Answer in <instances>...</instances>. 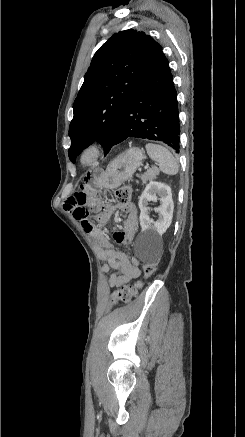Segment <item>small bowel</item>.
Masks as SVG:
<instances>
[{
    "mask_svg": "<svg viewBox=\"0 0 245 437\" xmlns=\"http://www.w3.org/2000/svg\"><path fill=\"white\" fill-rule=\"evenodd\" d=\"M75 192L65 203V210L81 222L85 232L90 235L98 255L105 261L102 271L108 273L114 270L108 278V285L124 286L131 279L139 275L138 260L130 258L127 254L113 249L110 237L102 230L109 216L120 210L126 215L122 230L112 232L113 239L120 244L131 243L138 230V210L133 203L118 204L111 207L94 222L88 215L86 206V193L90 189L88 183H79Z\"/></svg>",
    "mask_w": 245,
    "mask_h": 437,
    "instance_id": "obj_1",
    "label": "small bowel"
}]
</instances>
